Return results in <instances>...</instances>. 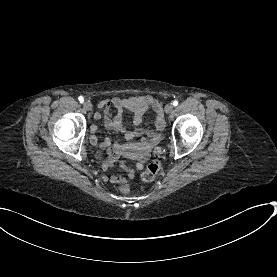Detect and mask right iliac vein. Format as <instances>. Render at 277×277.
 <instances>
[{"label":"right iliac vein","mask_w":277,"mask_h":277,"mask_svg":"<svg viewBox=\"0 0 277 277\" xmlns=\"http://www.w3.org/2000/svg\"><path fill=\"white\" fill-rule=\"evenodd\" d=\"M83 107H84V109H85L86 111L92 110V104H91V102H89V101H85V102L83 103Z\"/></svg>","instance_id":"obj_1"}]
</instances>
